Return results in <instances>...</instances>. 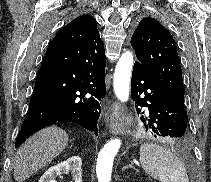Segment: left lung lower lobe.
I'll return each instance as SVG.
<instances>
[{"instance_id": "0a47b994", "label": "left lung lower lobe", "mask_w": 211, "mask_h": 182, "mask_svg": "<svg viewBox=\"0 0 211 182\" xmlns=\"http://www.w3.org/2000/svg\"><path fill=\"white\" fill-rule=\"evenodd\" d=\"M135 107H147V118L141 121L154 137H172L182 142L186 134L188 116L184 103L162 88L138 63H134L131 78ZM137 113L141 111L137 108Z\"/></svg>"}]
</instances>
